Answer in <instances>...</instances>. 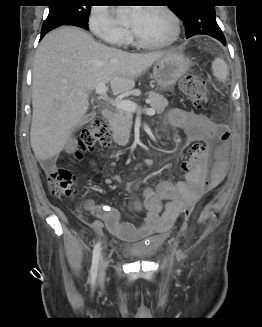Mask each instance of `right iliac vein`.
<instances>
[{"label":"right iliac vein","instance_id":"63e3f726","mask_svg":"<svg viewBox=\"0 0 262 327\" xmlns=\"http://www.w3.org/2000/svg\"><path fill=\"white\" fill-rule=\"evenodd\" d=\"M105 270H106V259L104 254L100 256L99 268H98V281L103 283L105 279Z\"/></svg>","mask_w":262,"mask_h":327}]
</instances>
